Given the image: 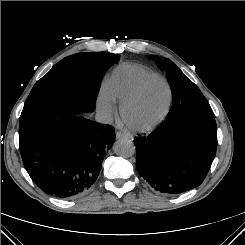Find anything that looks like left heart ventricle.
<instances>
[{"label": "left heart ventricle", "instance_id": "1", "mask_svg": "<svg viewBox=\"0 0 245 245\" xmlns=\"http://www.w3.org/2000/svg\"><path fill=\"white\" fill-rule=\"evenodd\" d=\"M167 100L166 87L159 82L149 85L140 100L127 110V118L135 124L153 121L163 110Z\"/></svg>", "mask_w": 245, "mask_h": 245}]
</instances>
